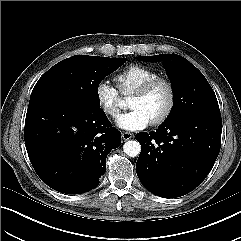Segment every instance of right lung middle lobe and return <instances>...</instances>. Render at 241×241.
<instances>
[{
	"mask_svg": "<svg viewBox=\"0 0 241 241\" xmlns=\"http://www.w3.org/2000/svg\"><path fill=\"white\" fill-rule=\"evenodd\" d=\"M126 58L76 55L50 68L36 83L30 104L49 100L71 103L84 110L100 108V82L126 62Z\"/></svg>",
	"mask_w": 241,
	"mask_h": 241,
	"instance_id": "dd1d6c3e",
	"label": "right lung middle lobe"
}]
</instances>
